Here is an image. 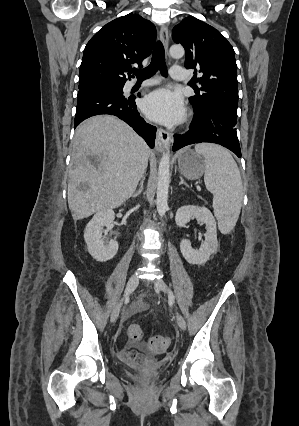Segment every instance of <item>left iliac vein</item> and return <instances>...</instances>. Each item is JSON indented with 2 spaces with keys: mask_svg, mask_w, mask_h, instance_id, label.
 Wrapping results in <instances>:
<instances>
[{
  "mask_svg": "<svg viewBox=\"0 0 299 426\" xmlns=\"http://www.w3.org/2000/svg\"><path fill=\"white\" fill-rule=\"evenodd\" d=\"M154 288L156 290H161L163 292H167V285L162 279H158L154 282ZM176 321H177V324H178V326L180 327L181 330L186 329L185 319L179 312H176Z\"/></svg>",
  "mask_w": 299,
  "mask_h": 426,
  "instance_id": "1",
  "label": "left iliac vein"
}]
</instances>
